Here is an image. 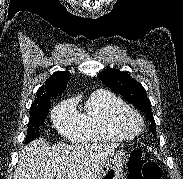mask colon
I'll return each mask as SVG.
<instances>
[{"instance_id":"5ec220e1","label":"colon","mask_w":183,"mask_h":179,"mask_svg":"<svg viewBox=\"0 0 183 179\" xmlns=\"http://www.w3.org/2000/svg\"><path fill=\"white\" fill-rule=\"evenodd\" d=\"M160 167L141 150L135 149L130 154L127 179H161Z\"/></svg>"}]
</instances>
